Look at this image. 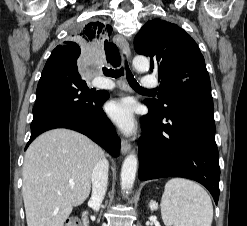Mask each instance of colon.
Returning a JSON list of instances; mask_svg holds the SVG:
<instances>
[{
	"instance_id": "5ec220e1",
	"label": "colon",
	"mask_w": 247,
	"mask_h": 226,
	"mask_svg": "<svg viewBox=\"0 0 247 226\" xmlns=\"http://www.w3.org/2000/svg\"><path fill=\"white\" fill-rule=\"evenodd\" d=\"M65 226H82V223L77 217H70L66 220Z\"/></svg>"
}]
</instances>
